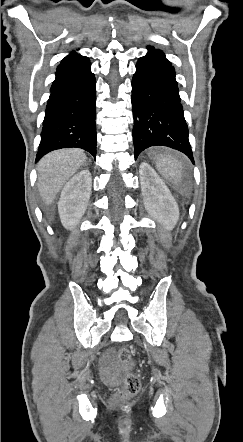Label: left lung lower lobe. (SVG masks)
Here are the masks:
<instances>
[{"mask_svg": "<svg viewBox=\"0 0 243 442\" xmlns=\"http://www.w3.org/2000/svg\"><path fill=\"white\" fill-rule=\"evenodd\" d=\"M131 101L135 159L144 149L159 145L183 152L194 163L175 70L152 46L136 64Z\"/></svg>", "mask_w": 243, "mask_h": 442, "instance_id": "obj_1", "label": "left lung lower lobe"}]
</instances>
